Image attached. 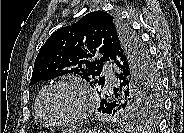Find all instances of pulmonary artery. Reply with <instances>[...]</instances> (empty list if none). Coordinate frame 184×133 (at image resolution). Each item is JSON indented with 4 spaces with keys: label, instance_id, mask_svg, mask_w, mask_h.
Returning <instances> with one entry per match:
<instances>
[{
    "label": "pulmonary artery",
    "instance_id": "1",
    "mask_svg": "<svg viewBox=\"0 0 184 133\" xmlns=\"http://www.w3.org/2000/svg\"><path fill=\"white\" fill-rule=\"evenodd\" d=\"M104 75H105L106 80H107L108 83H111L114 80V74L112 73L110 68H106L104 70Z\"/></svg>",
    "mask_w": 184,
    "mask_h": 133
}]
</instances>
